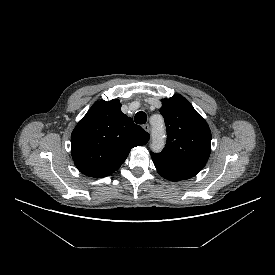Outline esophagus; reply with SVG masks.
I'll list each match as a JSON object with an SVG mask.
<instances>
[{
	"instance_id": "1",
	"label": "esophagus",
	"mask_w": 275,
	"mask_h": 275,
	"mask_svg": "<svg viewBox=\"0 0 275 275\" xmlns=\"http://www.w3.org/2000/svg\"><path fill=\"white\" fill-rule=\"evenodd\" d=\"M143 129H144L146 132H150V126H149V124H144V125H143Z\"/></svg>"
}]
</instances>
